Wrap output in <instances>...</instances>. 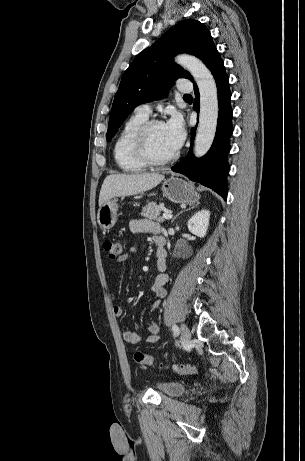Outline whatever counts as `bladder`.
<instances>
[{"label": "bladder", "mask_w": 305, "mask_h": 461, "mask_svg": "<svg viewBox=\"0 0 305 461\" xmlns=\"http://www.w3.org/2000/svg\"><path fill=\"white\" fill-rule=\"evenodd\" d=\"M157 390L166 396H179L186 390V384L181 381H164L157 385Z\"/></svg>", "instance_id": "bladder-1"}]
</instances>
